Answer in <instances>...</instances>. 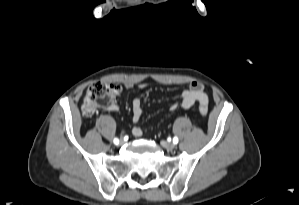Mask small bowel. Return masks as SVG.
<instances>
[{
	"label": "small bowel",
	"mask_w": 299,
	"mask_h": 205,
	"mask_svg": "<svg viewBox=\"0 0 299 205\" xmlns=\"http://www.w3.org/2000/svg\"><path fill=\"white\" fill-rule=\"evenodd\" d=\"M132 84H127L126 87H132ZM141 89H144L146 87L145 84H141L139 86ZM195 103L208 105V97L206 93L204 92V87L200 82L192 81L189 84V87L185 89L180 96L179 102L174 103L170 106V110L174 111L178 105L188 109L191 106H193ZM111 111H117L118 106L113 104L108 107ZM143 114V101L140 97H137L132 102V120L134 123H138L142 117ZM142 129L139 126H135L132 129V134L135 137H140L142 135Z\"/></svg>",
	"instance_id": "c3829d8e"
}]
</instances>
